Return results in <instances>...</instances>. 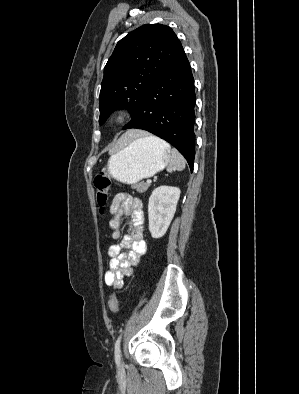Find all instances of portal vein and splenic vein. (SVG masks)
Masks as SVG:
<instances>
[{
  "label": "portal vein and splenic vein",
  "mask_w": 299,
  "mask_h": 394,
  "mask_svg": "<svg viewBox=\"0 0 299 394\" xmlns=\"http://www.w3.org/2000/svg\"><path fill=\"white\" fill-rule=\"evenodd\" d=\"M147 184H151L152 183V180L151 179H147Z\"/></svg>",
  "instance_id": "obj_1"
}]
</instances>
